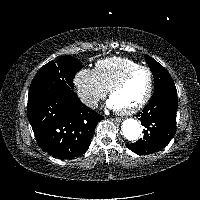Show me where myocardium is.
Returning <instances> with one entry per match:
<instances>
[{
  "instance_id": "1",
  "label": "myocardium",
  "mask_w": 200,
  "mask_h": 200,
  "mask_svg": "<svg viewBox=\"0 0 200 200\" xmlns=\"http://www.w3.org/2000/svg\"><path fill=\"white\" fill-rule=\"evenodd\" d=\"M142 70L146 71L149 75L148 90H147L145 96L142 98V100L140 102H138L137 104H135L134 106L126 108V109H118L117 111L122 115H132L134 113H137L138 111L143 109L146 106V104L149 102V100L151 99V96L153 94V90H154V75H153V72L151 71L150 68H148L146 66H137L135 68H132L128 72H126L120 79H118L115 83H113L109 87L108 94H109V97L111 98L112 95L117 90H119L122 86H124V84L129 80V78L131 76H133L138 71H142Z\"/></svg>"
}]
</instances>
